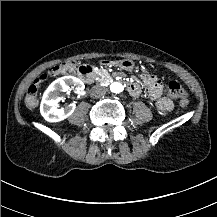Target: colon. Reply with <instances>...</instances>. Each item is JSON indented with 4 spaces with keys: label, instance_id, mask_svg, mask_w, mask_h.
I'll return each mask as SVG.
<instances>
[{
    "label": "colon",
    "instance_id": "colon-1",
    "mask_svg": "<svg viewBox=\"0 0 217 217\" xmlns=\"http://www.w3.org/2000/svg\"><path fill=\"white\" fill-rule=\"evenodd\" d=\"M77 68V63L74 60H69L67 63H56L37 76L36 80L29 86L25 97L24 104L25 106L33 110L38 104V90L39 84H42L48 80V78L57 74H68L70 71H74ZM167 91L170 95L176 97L179 106L186 107L189 104V97L187 92L184 90L182 85L178 81H170L167 84Z\"/></svg>",
    "mask_w": 217,
    "mask_h": 217
}]
</instances>
